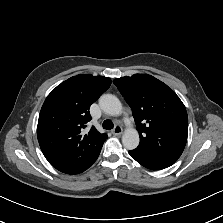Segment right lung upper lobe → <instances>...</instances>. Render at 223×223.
Returning a JSON list of instances; mask_svg holds the SVG:
<instances>
[{"label": "right lung upper lobe", "mask_w": 223, "mask_h": 223, "mask_svg": "<svg viewBox=\"0 0 223 223\" xmlns=\"http://www.w3.org/2000/svg\"><path fill=\"white\" fill-rule=\"evenodd\" d=\"M111 85L104 76L77 75L58 85L47 96L39 115L37 137L49 163L67 174H78L98 158L106 134L95 127L89 108Z\"/></svg>", "instance_id": "cb5924a9"}]
</instances>
